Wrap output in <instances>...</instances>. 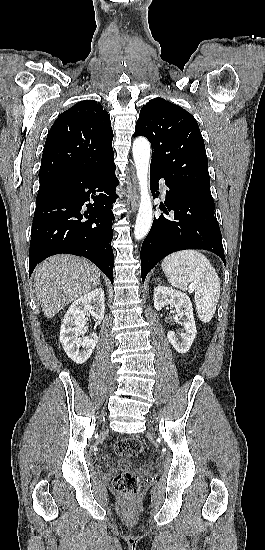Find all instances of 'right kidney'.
Segmentation results:
<instances>
[{"instance_id":"1","label":"right kidney","mask_w":265,"mask_h":550,"mask_svg":"<svg viewBox=\"0 0 265 550\" xmlns=\"http://www.w3.org/2000/svg\"><path fill=\"white\" fill-rule=\"evenodd\" d=\"M87 312L97 320L104 318L103 289H95L77 299L64 316L59 339L67 356L77 364H84L90 358L98 342V336L95 333L84 338L80 337L86 330Z\"/></svg>"}]
</instances>
